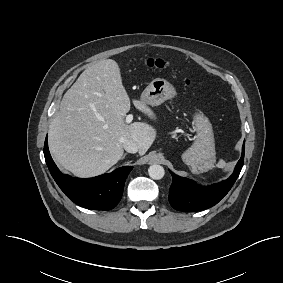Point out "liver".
<instances>
[{
    "mask_svg": "<svg viewBox=\"0 0 283 283\" xmlns=\"http://www.w3.org/2000/svg\"><path fill=\"white\" fill-rule=\"evenodd\" d=\"M133 105L150 119L156 114L141 100ZM130 98L122 83L118 63L99 61L87 68L64 94L49 133V149L59 166L77 177L104 173L123 157V140L132 139L144 155L156 130L147 123L127 125Z\"/></svg>",
    "mask_w": 283,
    "mask_h": 283,
    "instance_id": "obj_1",
    "label": "liver"
}]
</instances>
